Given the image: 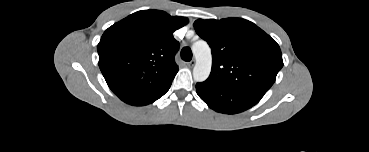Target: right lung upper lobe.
<instances>
[{"mask_svg": "<svg viewBox=\"0 0 369 152\" xmlns=\"http://www.w3.org/2000/svg\"><path fill=\"white\" fill-rule=\"evenodd\" d=\"M188 23L160 10L133 13L109 27L97 46L99 67L110 89L125 103L140 105L172 83L179 43L173 32Z\"/></svg>", "mask_w": 369, "mask_h": 152, "instance_id": "1", "label": "right lung upper lobe"}]
</instances>
